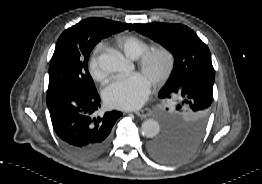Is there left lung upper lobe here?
<instances>
[{
    "label": "left lung upper lobe",
    "instance_id": "left-lung-upper-lobe-1",
    "mask_svg": "<svg viewBox=\"0 0 262 184\" xmlns=\"http://www.w3.org/2000/svg\"><path fill=\"white\" fill-rule=\"evenodd\" d=\"M131 29L151 37L174 53L175 67L158 96L179 98L175 109L165 116L168 135L190 147L197 145L208 124L215 80L207 45L192 29L180 24H133Z\"/></svg>",
    "mask_w": 262,
    "mask_h": 184
}]
</instances>
